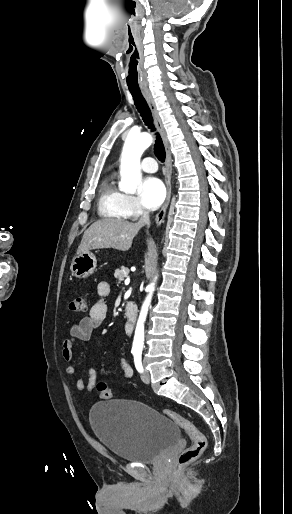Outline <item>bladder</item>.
I'll use <instances>...</instances> for the list:
<instances>
[{
	"mask_svg": "<svg viewBox=\"0 0 292 514\" xmlns=\"http://www.w3.org/2000/svg\"><path fill=\"white\" fill-rule=\"evenodd\" d=\"M89 422L105 448L126 462H154L180 438L177 424L169 417L133 400L96 403L89 411Z\"/></svg>",
	"mask_w": 292,
	"mask_h": 514,
	"instance_id": "bladder-1",
	"label": "bladder"
}]
</instances>
